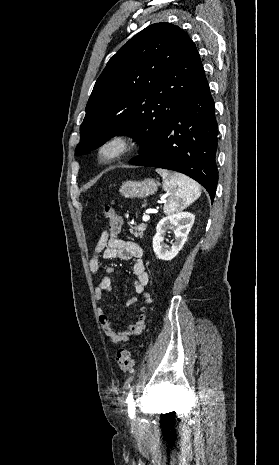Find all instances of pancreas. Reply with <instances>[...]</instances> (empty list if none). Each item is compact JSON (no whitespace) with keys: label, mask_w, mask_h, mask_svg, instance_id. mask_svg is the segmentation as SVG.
<instances>
[{"label":"pancreas","mask_w":279,"mask_h":465,"mask_svg":"<svg viewBox=\"0 0 279 465\" xmlns=\"http://www.w3.org/2000/svg\"><path fill=\"white\" fill-rule=\"evenodd\" d=\"M134 230V231H133ZM146 230L145 224H140L138 226L133 227L130 231L135 237L142 238L143 232Z\"/></svg>","instance_id":"cf45deb5"}]
</instances>
